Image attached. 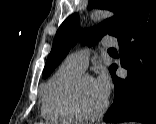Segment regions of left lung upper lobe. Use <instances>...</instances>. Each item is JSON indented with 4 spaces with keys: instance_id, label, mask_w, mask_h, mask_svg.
<instances>
[{
    "instance_id": "obj_1",
    "label": "left lung upper lobe",
    "mask_w": 156,
    "mask_h": 124,
    "mask_svg": "<svg viewBox=\"0 0 156 124\" xmlns=\"http://www.w3.org/2000/svg\"><path fill=\"white\" fill-rule=\"evenodd\" d=\"M150 0H90L89 7L108 9L115 16L100 23L97 27L79 30L78 14L69 16L57 30L52 50L47 58L43 77L47 78L55 67L68 54L79 37L84 44L95 45L105 34L115 37L127 31L138 19ZM113 65L110 67V71Z\"/></svg>"
}]
</instances>
